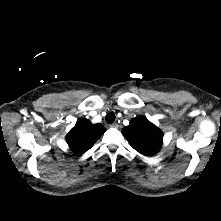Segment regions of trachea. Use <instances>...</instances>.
I'll use <instances>...</instances> for the list:
<instances>
[{
  "label": "trachea",
  "instance_id": "trachea-1",
  "mask_svg": "<svg viewBox=\"0 0 221 221\" xmlns=\"http://www.w3.org/2000/svg\"><path fill=\"white\" fill-rule=\"evenodd\" d=\"M115 114L114 113H109L107 116H106V122L111 124L115 121Z\"/></svg>",
  "mask_w": 221,
  "mask_h": 221
}]
</instances>
